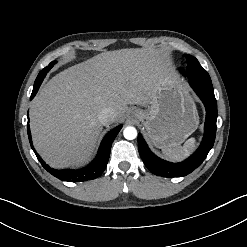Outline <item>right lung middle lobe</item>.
<instances>
[{
	"instance_id": "obj_1",
	"label": "right lung middle lobe",
	"mask_w": 247,
	"mask_h": 247,
	"mask_svg": "<svg viewBox=\"0 0 247 247\" xmlns=\"http://www.w3.org/2000/svg\"><path fill=\"white\" fill-rule=\"evenodd\" d=\"M56 62L54 61V62H51L47 67H45L44 69H43V71H45V70H48V69H50V68H52L53 67V65L55 64Z\"/></svg>"
}]
</instances>
